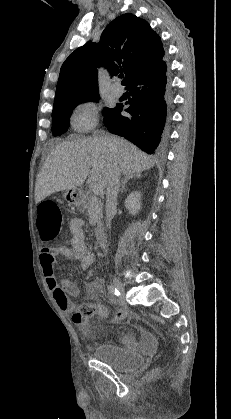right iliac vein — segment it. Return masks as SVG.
<instances>
[{"label": "right iliac vein", "instance_id": "1", "mask_svg": "<svg viewBox=\"0 0 231 419\" xmlns=\"http://www.w3.org/2000/svg\"><path fill=\"white\" fill-rule=\"evenodd\" d=\"M113 284L116 287V289L122 294H125V287L123 283L116 277L113 278Z\"/></svg>", "mask_w": 231, "mask_h": 419}]
</instances>
